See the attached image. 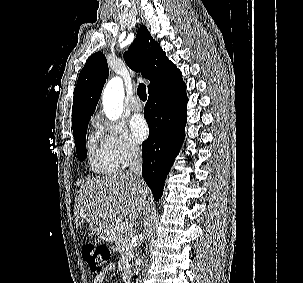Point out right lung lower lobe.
I'll return each instance as SVG.
<instances>
[{"label":"right lung lower lobe","instance_id":"right-lung-lower-lobe-1","mask_svg":"<svg viewBox=\"0 0 303 283\" xmlns=\"http://www.w3.org/2000/svg\"><path fill=\"white\" fill-rule=\"evenodd\" d=\"M187 101L181 75L149 93L145 107L149 137L142 144V176L157 201L185 138Z\"/></svg>","mask_w":303,"mask_h":283}]
</instances>
